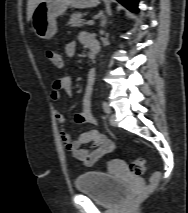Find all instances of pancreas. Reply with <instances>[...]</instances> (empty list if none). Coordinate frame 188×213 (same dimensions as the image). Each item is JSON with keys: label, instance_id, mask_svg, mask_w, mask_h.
Returning a JSON list of instances; mask_svg holds the SVG:
<instances>
[{"label": "pancreas", "instance_id": "pancreas-1", "mask_svg": "<svg viewBox=\"0 0 188 213\" xmlns=\"http://www.w3.org/2000/svg\"><path fill=\"white\" fill-rule=\"evenodd\" d=\"M83 15L85 14H82L80 12L73 13L70 16L68 25H70L71 27H81L84 24V21L82 20Z\"/></svg>", "mask_w": 188, "mask_h": 213}]
</instances>
